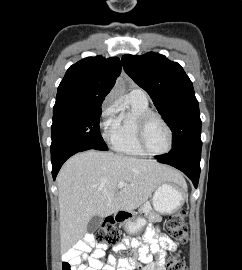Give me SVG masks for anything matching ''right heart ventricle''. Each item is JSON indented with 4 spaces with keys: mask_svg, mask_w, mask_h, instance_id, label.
<instances>
[{
    "mask_svg": "<svg viewBox=\"0 0 242 270\" xmlns=\"http://www.w3.org/2000/svg\"><path fill=\"white\" fill-rule=\"evenodd\" d=\"M150 111L147 100L135 98L130 94L127 96L110 134L115 151L131 156L146 155L137 141V122L141 115Z\"/></svg>",
    "mask_w": 242,
    "mask_h": 270,
    "instance_id": "1",
    "label": "right heart ventricle"
}]
</instances>
